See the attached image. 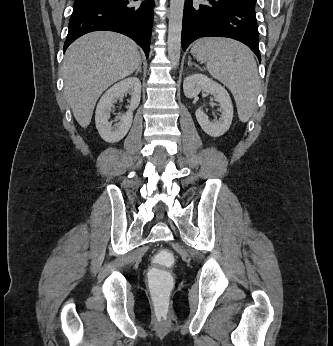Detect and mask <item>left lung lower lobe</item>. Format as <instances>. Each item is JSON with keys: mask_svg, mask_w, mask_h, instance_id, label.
I'll list each match as a JSON object with an SVG mask.
<instances>
[{"mask_svg": "<svg viewBox=\"0 0 333 346\" xmlns=\"http://www.w3.org/2000/svg\"><path fill=\"white\" fill-rule=\"evenodd\" d=\"M201 37H227L238 40L256 54L259 62V34L255 9L235 0H206L196 4L185 0L182 48Z\"/></svg>", "mask_w": 333, "mask_h": 346, "instance_id": "left-lung-lower-lobe-1", "label": "left lung lower lobe"}]
</instances>
